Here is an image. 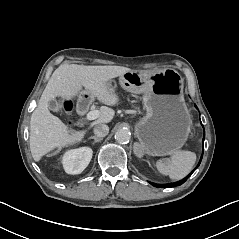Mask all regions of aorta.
Instances as JSON below:
<instances>
[{"instance_id": "obj_1", "label": "aorta", "mask_w": 239, "mask_h": 239, "mask_svg": "<svg viewBox=\"0 0 239 239\" xmlns=\"http://www.w3.org/2000/svg\"><path fill=\"white\" fill-rule=\"evenodd\" d=\"M114 138L118 143L126 144L130 141L131 135L129 130L127 129H118L115 133Z\"/></svg>"}]
</instances>
